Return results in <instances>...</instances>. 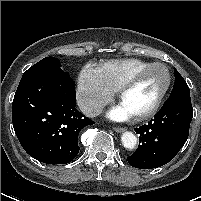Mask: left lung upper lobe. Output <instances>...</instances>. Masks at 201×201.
Segmentation results:
<instances>
[{"instance_id":"obj_1","label":"left lung upper lobe","mask_w":201,"mask_h":201,"mask_svg":"<svg viewBox=\"0 0 201 201\" xmlns=\"http://www.w3.org/2000/svg\"><path fill=\"white\" fill-rule=\"evenodd\" d=\"M174 74H175V83L170 95L177 94L180 92H189L190 90L186 81L176 69H174Z\"/></svg>"}]
</instances>
